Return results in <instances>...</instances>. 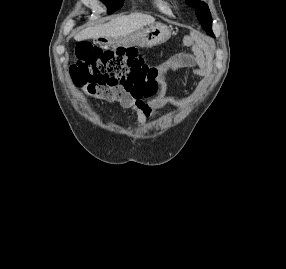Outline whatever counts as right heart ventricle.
<instances>
[{
  "instance_id": "e07e8e85",
  "label": "right heart ventricle",
  "mask_w": 286,
  "mask_h": 269,
  "mask_svg": "<svg viewBox=\"0 0 286 269\" xmlns=\"http://www.w3.org/2000/svg\"><path fill=\"white\" fill-rule=\"evenodd\" d=\"M150 5L156 12L162 15L172 14L171 6L168 0H150Z\"/></svg>"
}]
</instances>
